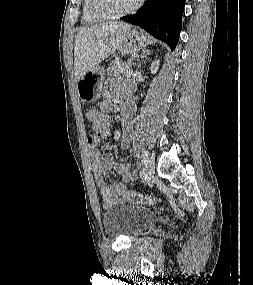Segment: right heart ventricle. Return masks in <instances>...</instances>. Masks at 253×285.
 Here are the masks:
<instances>
[{
	"mask_svg": "<svg viewBox=\"0 0 253 285\" xmlns=\"http://www.w3.org/2000/svg\"><path fill=\"white\" fill-rule=\"evenodd\" d=\"M82 18L83 21L88 24L98 23L104 20L92 12L90 0H83Z\"/></svg>",
	"mask_w": 253,
	"mask_h": 285,
	"instance_id": "e07e8e85",
	"label": "right heart ventricle"
}]
</instances>
